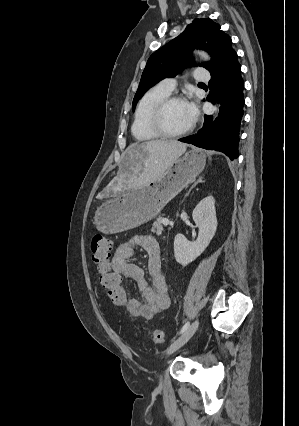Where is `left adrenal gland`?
<instances>
[{
    "label": "left adrenal gland",
    "instance_id": "obj_1",
    "mask_svg": "<svg viewBox=\"0 0 299 426\" xmlns=\"http://www.w3.org/2000/svg\"><path fill=\"white\" fill-rule=\"evenodd\" d=\"M203 182V177H199L198 180L190 187L189 191L186 193L185 197H187L189 195V193L191 192V190L196 187V185L198 183H202Z\"/></svg>",
    "mask_w": 299,
    "mask_h": 426
}]
</instances>
